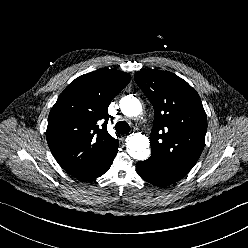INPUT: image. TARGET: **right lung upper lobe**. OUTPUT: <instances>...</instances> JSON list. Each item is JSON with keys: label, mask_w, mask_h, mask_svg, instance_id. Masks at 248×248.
<instances>
[{"label": "right lung upper lobe", "mask_w": 248, "mask_h": 248, "mask_svg": "<svg viewBox=\"0 0 248 248\" xmlns=\"http://www.w3.org/2000/svg\"><path fill=\"white\" fill-rule=\"evenodd\" d=\"M130 79L126 72L98 69L76 78L61 93L50 111L46 138L67 173L86 179L108 161L116 143L107 131L109 103Z\"/></svg>", "instance_id": "1"}]
</instances>
